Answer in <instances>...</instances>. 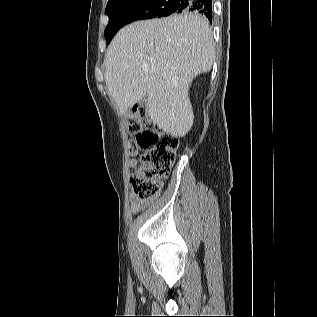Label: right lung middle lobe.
Instances as JSON below:
<instances>
[{"label":"right lung middle lobe","instance_id":"dd1d6c3e","mask_svg":"<svg viewBox=\"0 0 317 317\" xmlns=\"http://www.w3.org/2000/svg\"><path fill=\"white\" fill-rule=\"evenodd\" d=\"M175 0H109L106 14L109 23L104 35L109 43L120 28L136 20L165 17L177 11ZM177 13V12H176ZM184 13H188L183 11Z\"/></svg>","mask_w":317,"mask_h":317}]
</instances>
